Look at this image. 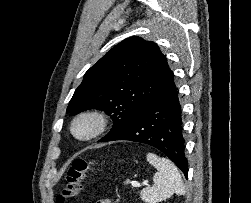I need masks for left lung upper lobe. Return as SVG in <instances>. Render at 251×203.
<instances>
[{
	"label": "left lung upper lobe",
	"instance_id": "left-lung-upper-lobe-1",
	"mask_svg": "<svg viewBox=\"0 0 251 203\" xmlns=\"http://www.w3.org/2000/svg\"><path fill=\"white\" fill-rule=\"evenodd\" d=\"M170 68L157 44L139 37L123 40L84 75L67 113L100 109L111 115L112 130L100 142L122 132L154 96Z\"/></svg>",
	"mask_w": 251,
	"mask_h": 203
}]
</instances>
